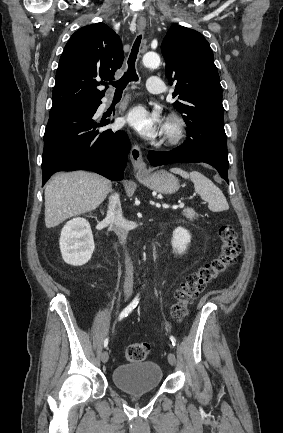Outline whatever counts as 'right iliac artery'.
Listing matches in <instances>:
<instances>
[{
    "label": "right iliac artery",
    "instance_id": "82829eb1",
    "mask_svg": "<svg viewBox=\"0 0 283 433\" xmlns=\"http://www.w3.org/2000/svg\"><path fill=\"white\" fill-rule=\"evenodd\" d=\"M139 302L138 296L121 312L119 319L121 320L124 317H127L128 314L137 306ZM108 345V338L104 341V347H107Z\"/></svg>",
    "mask_w": 283,
    "mask_h": 433
}]
</instances>
